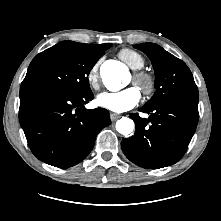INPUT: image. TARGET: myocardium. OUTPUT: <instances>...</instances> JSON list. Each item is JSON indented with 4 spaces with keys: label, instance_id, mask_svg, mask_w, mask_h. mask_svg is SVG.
<instances>
[{
    "label": "myocardium",
    "instance_id": "f54148a6",
    "mask_svg": "<svg viewBox=\"0 0 221 221\" xmlns=\"http://www.w3.org/2000/svg\"><path fill=\"white\" fill-rule=\"evenodd\" d=\"M133 83L146 95H152L156 90V77L153 73L139 70L133 74Z\"/></svg>",
    "mask_w": 221,
    "mask_h": 221
}]
</instances>
